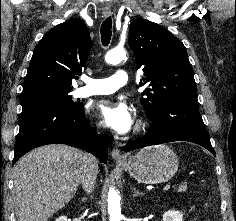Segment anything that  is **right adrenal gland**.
Listing matches in <instances>:
<instances>
[{"label":"right adrenal gland","instance_id":"obj_1","mask_svg":"<svg viewBox=\"0 0 236 221\" xmlns=\"http://www.w3.org/2000/svg\"><path fill=\"white\" fill-rule=\"evenodd\" d=\"M81 200H82V202H85L87 200V198L83 197Z\"/></svg>","mask_w":236,"mask_h":221}]
</instances>
